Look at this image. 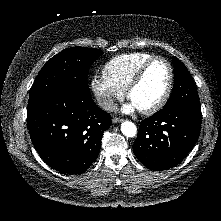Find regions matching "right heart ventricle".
I'll use <instances>...</instances> for the list:
<instances>
[{
  "label": "right heart ventricle",
  "instance_id": "obj_1",
  "mask_svg": "<svg viewBox=\"0 0 221 221\" xmlns=\"http://www.w3.org/2000/svg\"><path fill=\"white\" fill-rule=\"evenodd\" d=\"M152 57L151 54L144 52L118 55L105 64L103 75L125 91L137 70Z\"/></svg>",
  "mask_w": 221,
  "mask_h": 221
}]
</instances>
